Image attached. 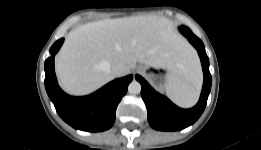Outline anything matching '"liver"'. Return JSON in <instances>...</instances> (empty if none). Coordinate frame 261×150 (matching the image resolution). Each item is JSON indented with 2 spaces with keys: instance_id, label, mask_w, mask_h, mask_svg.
<instances>
[{
  "instance_id": "liver-1",
  "label": "liver",
  "mask_w": 261,
  "mask_h": 150,
  "mask_svg": "<svg viewBox=\"0 0 261 150\" xmlns=\"http://www.w3.org/2000/svg\"><path fill=\"white\" fill-rule=\"evenodd\" d=\"M197 60L192 47L164 17L132 16L90 22L70 32L56 58L62 88L72 95L95 91L113 80L110 69L127 73L143 63L179 74Z\"/></svg>"
}]
</instances>
